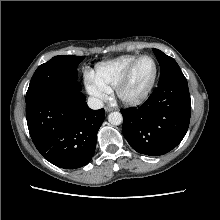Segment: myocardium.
Returning a JSON list of instances; mask_svg holds the SVG:
<instances>
[{
  "label": "myocardium",
  "instance_id": "1",
  "mask_svg": "<svg viewBox=\"0 0 220 220\" xmlns=\"http://www.w3.org/2000/svg\"><path fill=\"white\" fill-rule=\"evenodd\" d=\"M145 58H150L153 62H154V75L152 77V80L150 81V83L148 84V86L145 88V90L140 93L139 95L136 96H128L125 94V88L127 87V85L129 84L132 75L134 73L135 68L137 67L138 63ZM158 63L156 61V59L151 56V55H141L139 57L136 58V60L132 63V65L129 67V69L127 70L126 74L123 76V78L119 81V83L116 85L115 87V93L117 98L123 102L124 104L127 105H139L143 102H145L147 100V98L150 96L157 77H158Z\"/></svg>",
  "mask_w": 220,
  "mask_h": 220
}]
</instances>
